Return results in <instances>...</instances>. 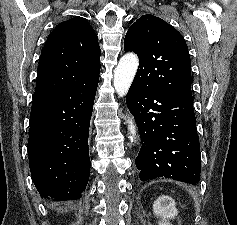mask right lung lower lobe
I'll use <instances>...</instances> for the list:
<instances>
[{"label": "right lung lower lobe", "mask_w": 237, "mask_h": 225, "mask_svg": "<svg viewBox=\"0 0 237 225\" xmlns=\"http://www.w3.org/2000/svg\"><path fill=\"white\" fill-rule=\"evenodd\" d=\"M98 81L59 96L33 99L28 153L41 197L79 199L87 186L88 134Z\"/></svg>", "instance_id": "1"}]
</instances>
